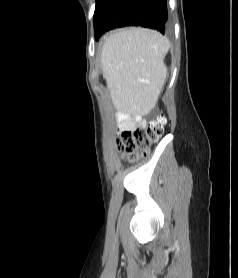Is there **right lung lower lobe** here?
Instances as JSON below:
<instances>
[{
    "instance_id": "1",
    "label": "right lung lower lobe",
    "mask_w": 238,
    "mask_h": 278,
    "mask_svg": "<svg viewBox=\"0 0 238 278\" xmlns=\"http://www.w3.org/2000/svg\"><path fill=\"white\" fill-rule=\"evenodd\" d=\"M166 0H97L94 12L95 39L122 26H143L164 33Z\"/></svg>"
}]
</instances>
